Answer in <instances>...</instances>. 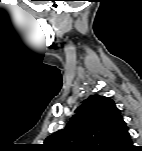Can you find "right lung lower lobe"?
<instances>
[{"mask_svg": "<svg viewBox=\"0 0 142 151\" xmlns=\"http://www.w3.org/2000/svg\"><path fill=\"white\" fill-rule=\"evenodd\" d=\"M131 150H135V148L132 145V142H131V139H130V141L126 145H124L123 147H121L117 151H131Z\"/></svg>", "mask_w": 142, "mask_h": 151, "instance_id": "right-lung-lower-lobe-1", "label": "right lung lower lobe"}]
</instances>
